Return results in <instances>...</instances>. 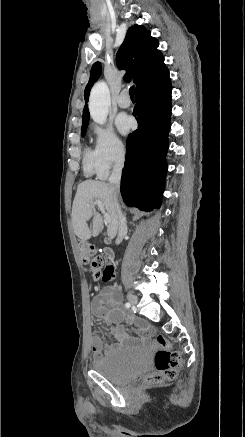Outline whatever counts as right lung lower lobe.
I'll use <instances>...</instances> for the list:
<instances>
[{"mask_svg":"<svg viewBox=\"0 0 245 437\" xmlns=\"http://www.w3.org/2000/svg\"><path fill=\"white\" fill-rule=\"evenodd\" d=\"M171 92L170 80L136 92L138 129L127 138L121 194L127 206L146 212L160 208L164 191Z\"/></svg>","mask_w":245,"mask_h":437,"instance_id":"right-lung-lower-lobe-1","label":"right lung lower lobe"}]
</instances>
